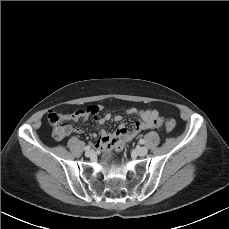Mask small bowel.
I'll list each match as a JSON object with an SVG mask.
<instances>
[{"mask_svg": "<svg viewBox=\"0 0 229 229\" xmlns=\"http://www.w3.org/2000/svg\"><path fill=\"white\" fill-rule=\"evenodd\" d=\"M127 114L136 115L137 121L132 129H128L126 125L120 124L114 134L108 132L105 128L100 130V140L96 143V147L101 150H111L113 148V140L119 139V143L130 142L133 140L140 131L151 129L154 126V119L157 117V112L154 110H139L137 108H129L126 111ZM89 114L85 110H77L69 115V120H87ZM121 115H115L113 120L117 123L122 121ZM111 120L110 114H104L101 117L96 118V122L99 126H103L105 123ZM68 132L81 133L82 129L70 126ZM61 138V137H60Z\"/></svg>", "mask_w": 229, "mask_h": 229, "instance_id": "obj_1", "label": "small bowel"}]
</instances>
